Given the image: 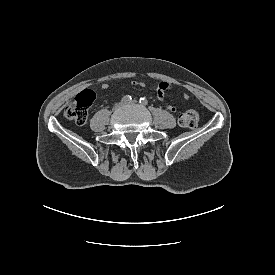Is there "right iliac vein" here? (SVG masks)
Instances as JSON below:
<instances>
[{
    "label": "right iliac vein",
    "mask_w": 275,
    "mask_h": 275,
    "mask_svg": "<svg viewBox=\"0 0 275 275\" xmlns=\"http://www.w3.org/2000/svg\"><path fill=\"white\" fill-rule=\"evenodd\" d=\"M121 106H122V104H120V103H119V104H116V105L114 106L113 109H114V110H117V109H119Z\"/></svg>",
    "instance_id": "obj_1"
}]
</instances>
